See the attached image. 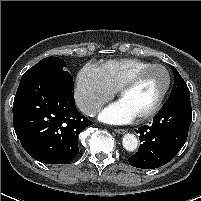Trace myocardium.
<instances>
[{
  "label": "myocardium",
  "mask_w": 201,
  "mask_h": 201,
  "mask_svg": "<svg viewBox=\"0 0 201 201\" xmlns=\"http://www.w3.org/2000/svg\"><path fill=\"white\" fill-rule=\"evenodd\" d=\"M155 68H159L164 71L165 76H166L165 86H164L161 94L159 95L157 101L155 102V104L148 111L136 116V119L138 121H145V120H148V119L154 117L162 108V105H163V103L166 99V96L168 95V92L171 87L172 79H171L170 71L168 70V68L166 66H164L162 64H151L145 68L140 69L139 71H137L133 75H131L129 78H127L118 89V97L121 100L122 96L128 89H130L132 86H134L143 76H145L148 72H150L151 70H153Z\"/></svg>",
  "instance_id": "1"
}]
</instances>
